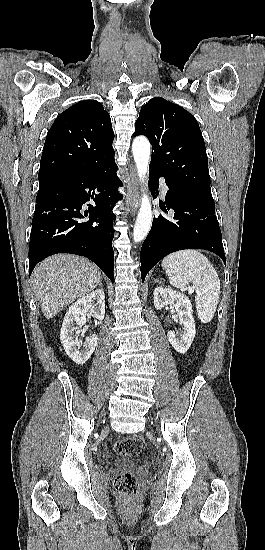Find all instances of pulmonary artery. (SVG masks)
I'll list each match as a JSON object with an SVG mask.
<instances>
[{"mask_svg": "<svg viewBox=\"0 0 265 550\" xmlns=\"http://www.w3.org/2000/svg\"><path fill=\"white\" fill-rule=\"evenodd\" d=\"M160 185H161L162 194L165 196L167 193V185L164 178L160 179Z\"/></svg>", "mask_w": 265, "mask_h": 550, "instance_id": "pulmonary-artery-1", "label": "pulmonary artery"}]
</instances>
